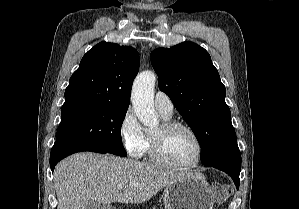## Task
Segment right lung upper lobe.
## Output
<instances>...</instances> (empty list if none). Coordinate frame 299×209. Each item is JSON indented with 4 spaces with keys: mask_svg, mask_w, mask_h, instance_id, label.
<instances>
[{
    "mask_svg": "<svg viewBox=\"0 0 299 209\" xmlns=\"http://www.w3.org/2000/svg\"><path fill=\"white\" fill-rule=\"evenodd\" d=\"M139 63L138 52L132 47L109 42L95 45L72 74L63 105L128 107Z\"/></svg>",
    "mask_w": 299,
    "mask_h": 209,
    "instance_id": "1",
    "label": "right lung upper lobe"
}]
</instances>
